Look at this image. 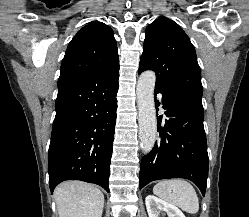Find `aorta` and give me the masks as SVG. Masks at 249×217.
<instances>
[{
	"instance_id": "762f6f07",
	"label": "aorta",
	"mask_w": 249,
	"mask_h": 217,
	"mask_svg": "<svg viewBox=\"0 0 249 217\" xmlns=\"http://www.w3.org/2000/svg\"><path fill=\"white\" fill-rule=\"evenodd\" d=\"M155 82V73L148 70L139 76L136 87L140 146L146 154L152 150L156 141Z\"/></svg>"
}]
</instances>
